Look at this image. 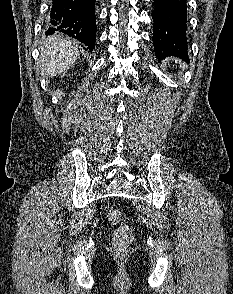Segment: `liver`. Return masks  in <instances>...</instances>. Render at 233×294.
I'll return each instance as SVG.
<instances>
[{"label": "liver", "mask_w": 233, "mask_h": 294, "mask_svg": "<svg viewBox=\"0 0 233 294\" xmlns=\"http://www.w3.org/2000/svg\"><path fill=\"white\" fill-rule=\"evenodd\" d=\"M79 51L71 41L59 36H50L40 47L39 64L47 77L68 70L76 61Z\"/></svg>", "instance_id": "obj_1"}]
</instances>
